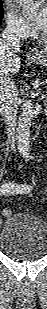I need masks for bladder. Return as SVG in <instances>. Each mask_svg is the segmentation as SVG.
Masks as SVG:
<instances>
[{
	"mask_svg": "<svg viewBox=\"0 0 47 309\" xmlns=\"http://www.w3.org/2000/svg\"><path fill=\"white\" fill-rule=\"evenodd\" d=\"M0 248L14 259L43 257L47 251L46 223L33 214H12L2 228Z\"/></svg>",
	"mask_w": 47,
	"mask_h": 309,
	"instance_id": "31cf9c89",
	"label": "bladder"
}]
</instances>
